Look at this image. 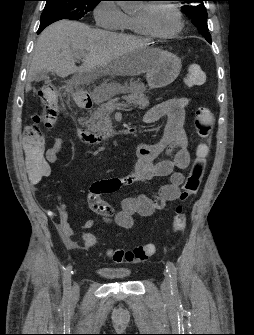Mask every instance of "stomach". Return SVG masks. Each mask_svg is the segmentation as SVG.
<instances>
[{
	"label": "stomach",
	"instance_id": "obj_1",
	"mask_svg": "<svg viewBox=\"0 0 254 335\" xmlns=\"http://www.w3.org/2000/svg\"><path fill=\"white\" fill-rule=\"evenodd\" d=\"M147 50L154 58L152 67L146 72L149 88H163L173 83L182 68L179 57L159 48H148Z\"/></svg>",
	"mask_w": 254,
	"mask_h": 335
}]
</instances>
